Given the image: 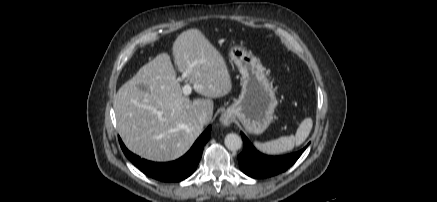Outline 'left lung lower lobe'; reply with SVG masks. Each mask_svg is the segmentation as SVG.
<instances>
[{
    "mask_svg": "<svg viewBox=\"0 0 437 202\" xmlns=\"http://www.w3.org/2000/svg\"><path fill=\"white\" fill-rule=\"evenodd\" d=\"M244 143V150L238 155L240 169L248 176L256 179L268 178L285 172L301 156L304 149L283 156H269L260 153L251 144L248 138L241 133Z\"/></svg>",
    "mask_w": 437,
    "mask_h": 202,
    "instance_id": "obj_1",
    "label": "left lung lower lobe"
}]
</instances>
